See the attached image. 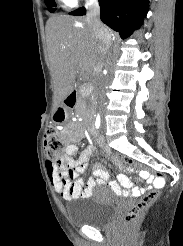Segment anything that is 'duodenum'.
Instances as JSON below:
<instances>
[{"label":"duodenum","instance_id":"duodenum-1","mask_svg":"<svg viewBox=\"0 0 183 246\" xmlns=\"http://www.w3.org/2000/svg\"><path fill=\"white\" fill-rule=\"evenodd\" d=\"M67 109H76L78 104V92L76 90L72 91L65 100ZM93 141H96L97 144H101L102 148L106 147L104 136H93ZM106 149V148H105Z\"/></svg>","mask_w":183,"mask_h":246}]
</instances>
